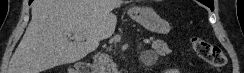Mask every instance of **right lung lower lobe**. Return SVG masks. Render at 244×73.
Listing matches in <instances>:
<instances>
[{"mask_svg": "<svg viewBox=\"0 0 244 73\" xmlns=\"http://www.w3.org/2000/svg\"><path fill=\"white\" fill-rule=\"evenodd\" d=\"M32 1H33V0H30V1H29V4H31Z\"/></svg>", "mask_w": 244, "mask_h": 73, "instance_id": "1", "label": "right lung lower lobe"}]
</instances>
